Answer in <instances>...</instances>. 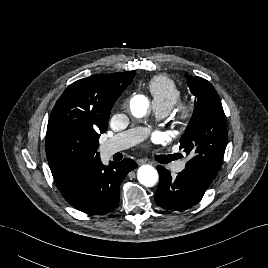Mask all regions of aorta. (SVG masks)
I'll list each match as a JSON object with an SVG mask.
<instances>
[{
    "mask_svg": "<svg viewBox=\"0 0 268 268\" xmlns=\"http://www.w3.org/2000/svg\"><path fill=\"white\" fill-rule=\"evenodd\" d=\"M130 109L134 117L143 118L149 114L150 102L144 95H136L130 101ZM158 172L151 165H142L137 172L138 181L146 186L152 187L158 181Z\"/></svg>",
    "mask_w": 268,
    "mask_h": 268,
    "instance_id": "obj_1",
    "label": "aorta"
}]
</instances>
